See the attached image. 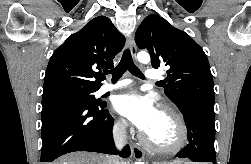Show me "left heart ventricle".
I'll return each mask as SVG.
<instances>
[{
    "mask_svg": "<svg viewBox=\"0 0 251 164\" xmlns=\"http://www.w3.org/2000/svg\"><path fill=\"white\" fill-rule=\"evenodd\" d=\"M148 135L154 144L168 145L175 139V127L168 117L159 113L157 121Z\"/></svg>",
    "mask_w": 251,
    "mask_h": 164,
    "instance_id": "left-heart-ventricle-1",
    "label": "left heart ventricle"
}]
</instances>
